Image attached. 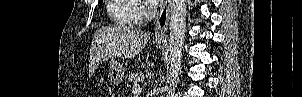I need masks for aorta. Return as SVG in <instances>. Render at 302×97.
I'll return each instance as SVG.
<instances>
[{"label": "aorta", "instance_id": "aorta-1", "mask_svg": "<svg viewBox=\"0 0 302 97\" xmlns=\"http://www.w3.org/2000/svg\"><path fill=\"white\" fill-rule=\"evenodd\" d=\"M187 0L171 1L170 36H169V86L167 96L174 97L181 70L182 50L186 30Z\"/></svg>", "mask_w": 302, "mask_h": 97}]
</instances>
